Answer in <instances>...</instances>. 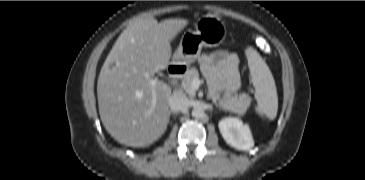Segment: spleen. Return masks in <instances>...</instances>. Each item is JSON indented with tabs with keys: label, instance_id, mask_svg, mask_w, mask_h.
<instances>
[{
	"label": "spleen",
	"instance_id": "1",
	"mask_svg": "<svg viewBox=\"0 0 365 180\" xmlns=\"http://www.w3.org/2000/svg\"><path fill=\"white\" fill-rule=\"evenodd\" d=\"M246 56L251 81L255 88L256 111L273 120L278 111V97L272 73L255 49L249 47L246 50Z\"/></svg>",
	"mask_w": 365,
	"mask_h": 180
}]
</instances>
